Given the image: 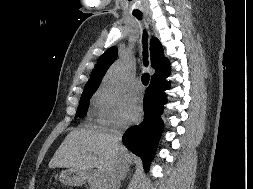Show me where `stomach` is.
<instances>
[{
	"label": "stomach",
	"instance_id": "0dacf381",
	"mask_svg": "<svg viewBox=\"0 0 253 189\" xmlns=\"http://www.w3.org/2000/svg\"><path fill=\"white\" fill-rule=\"evenodd\" d=\"M88 177L87 172L67 169L59 174V181L64 185L79 186L88 180Z\"/></svg>",
	"mask_w": 253,
	"mask_h": 189
}]
</instances>
